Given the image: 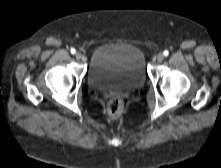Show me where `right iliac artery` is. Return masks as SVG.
<instances>
[{
	"label": "right iliac artery",
	"mask_w": 221,
	"mask_h": 168,
	"mask_svg": "<svg viewBox=\"0 0 221 168\" xmlns=\"http://www.w3.org/2000/svg\"><path fill=\"white\" fill-rule=\"evenodd\" d=\"M70 52H71V54H75L76 50L74 48H72Z\"/></svg>",
	"instance_id": "right-iliac-artery-1"
}]
</instances>
